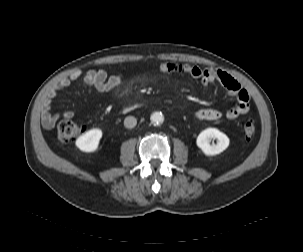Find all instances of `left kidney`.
Listing matches in <instances>:
<instances>
[{
  "label": "left kidney",
  "instance_id": "1",
  "mask_svg": "<svg viewBox=\"0 0 303 252\" xmlns=\"http://www.w3.org/2000/svg\"><path fill=\"white\" fill-rule=\"evenodd\" d=\"M212 138L217 139V144L210 145ZM196 143L205 155L213 156L220 154L229 146V138L216 128H207L198 135Z\"/></svg>",
  "mask_w": 303,
  "mask_h": 252
}]
</instances>
